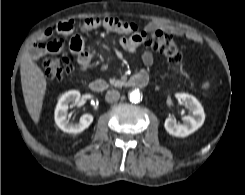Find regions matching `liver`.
<instances>
[{
    "label": "liver",
    "mask_w": 245,
    "mask_h": 195,
    "mask_svg": "<svg viewBox=\"0 0 245 195\" xmlns=\"http://www.w3.org/2000/svg\"><path fill=\"white\" fill-rule=\"evenodd\" d=\"M21 84L26 108L34 121L38 124L47 81L40 67L25 54L20 65Z\"/></svg>",
    "instance_id": "6515ba94"
}]
</instances>
